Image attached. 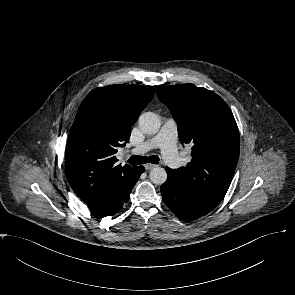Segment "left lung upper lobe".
<instances>
[{
    "instance_id": "left-lung-upper-lobe-1",
    "label": "left lung upper lobe",
    "mask_w": 295,
    "mask_h": 295,
    "mask_svg": "<svg viewBox=\"0 0 295 295\" xmlns=\"http://www.w3.org/2000/svg\"><path fill=\"white\" fill-rule=\"evenodd\" d=\"M158 98L171 110L192 160L172 177L200 207L212 211L224 198L239 158L240 138L224 100L193 84L159 85Z\"/></svg>"
}]
</instances>
